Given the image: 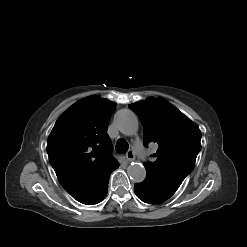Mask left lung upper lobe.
Wrapping results in <instances>:
<instances>
[{"label":"left lung upper lobe","instance_id":"5c2ea615","mask_svg":"<svg viewBox=\"0 0 247 247\" xmlns=\"http://www.w3.org/2000/svg\"><path fill=\"white\" fill-rule=\"evenodd\" d=\"M144 127V144H158L154 162H145L146 172L175 192L193 170L201 149V132L186 115L163 99L149 97L130 104Z\"/></svg>","mask_w":247,"mask_h":247}]
</instances>
